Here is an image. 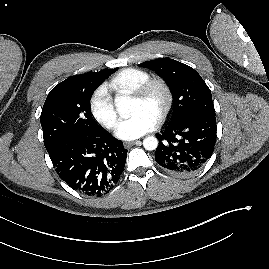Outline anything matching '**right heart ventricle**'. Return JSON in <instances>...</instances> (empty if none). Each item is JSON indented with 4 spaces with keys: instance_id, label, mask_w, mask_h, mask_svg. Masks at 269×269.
I'll return each mask as SVG.
<instances>
[{
    "instance_id": "e07e8e85",
    "label": "right heart ventricle",
    "mask_w": 269,
    "mask_h": 269,
    "mask_svg": "<svg viewBox=\"0 0 269 269\" xmlns=\"http://www.w3.org/2000/svg\"><path fill=\"white\" fill-rule=\"evenodd\" d=\"M150 78L146 70L129 67L115 74L108 83V88L117 95H131L144 81Z\"/></svg>"
}]
</instances>
